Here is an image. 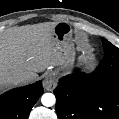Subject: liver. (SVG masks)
<instances>
[{
    "label": "liver",
    "mask_w": 119,
    "mask_h": 119,
    "mask_svg": "<svg viewBox=\"0 0 119 119\" xmlns=\"http://www.w3.org/2000/svg\"><path fill=\"white\" fill-rule=\"evenodd\" d=\"M56 24L41 23L0 36V91L15 85L20 75H29L32 82L38 72L58 62V47L53 39Z\"/></svg>",
    "instance_id": "6515ba94"
}]
</instances>
